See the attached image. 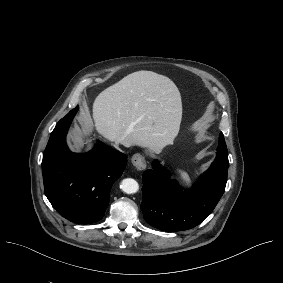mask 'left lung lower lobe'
Here are the masks:
<instances>
[{"mask_svg":"<svg viewBox=\"0 0 283 283\" xmlns=\"http://www.w3.org/2000/svg\"><path fill=\"white\" fill-rule=\"evenodd\" d=\"M228 150L219 135L216 159L202 174L197 185L184 190L170 178L158 161L143 174L141 210L151 226L169 232L183 231L199 225L213 211L224 193L228 172Z\"/></svg>","mask_w":283,"mask_h":283,"instance_id":"0a47b994","label":"left lung lower lobe"}]
</instances>
